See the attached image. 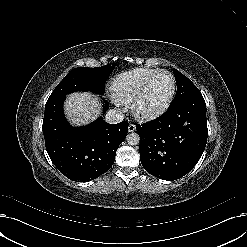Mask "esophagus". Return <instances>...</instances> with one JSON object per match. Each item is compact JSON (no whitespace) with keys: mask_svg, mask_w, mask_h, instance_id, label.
I'll list each match as a JSON object with an SVG mask.
<instances>
[{"mask_svg":"<svg viewBox=\"0 0 247 247\" xmlns=\"http://www.w3.org/2000/svg\"><path fill=\"white\" fill-rule=\"evenodd\" d=\"M136 130V126L132 123L129 124L128 126V131L129 132H134Z\"/></svg>","mask_w":247,"mask_h":247,"instance_id":"34e87169","label":"esophagus"}]
</instances>
